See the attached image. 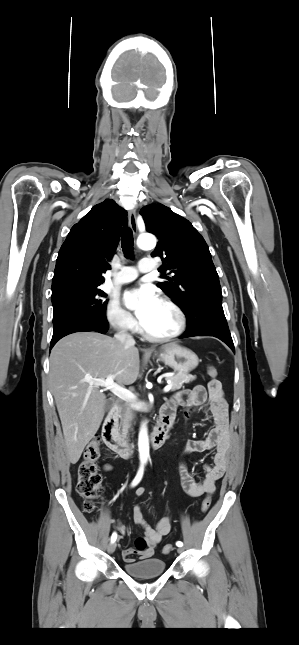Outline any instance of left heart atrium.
Instances as JSON below:
<instances>
[{"label": "left heart atrium", "instance_id": "39dd6f15", "mask_svg": "<svg viewBox=\"0 0 299 645\" xmlns=\"http://www.w3.org/2000/svg\"><path fill=\"white\" fill-rule=\"evenodd\" d=\"M124 300L126 302L134 301L136 303V316L142 326L160 302L155 291L148 286L127 291L124 295Z\"/></svg>", "mask_w": 299, "mask_h": 645}]
</instances>
